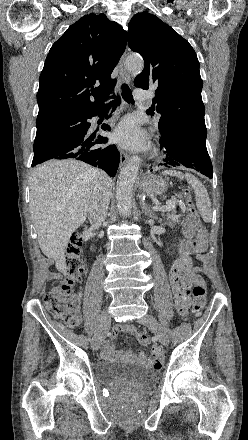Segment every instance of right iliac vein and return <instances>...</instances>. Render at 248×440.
Wrapping results in <instances>:
<instances>
[{
    "mask_svg": "<svg viewBox=\"0 0 248 440\" xmlns=\"http://www.w3.org/2000/svg\"><path fill=\"white\" fill-rule=\"evenodd\" d=\"M110 324L111 319L109 313L105 311L101 317L97 332L92 339V348L94 350H98L101 347L105 334L110 327Z\"/></svg>",
    "mask_w": 248,
    "mask_h": 440,
    "instance_id": "obj_1",
    "label": "right iliac vein"
}]
</instances>
